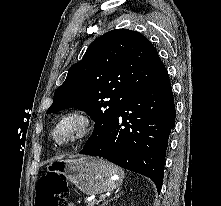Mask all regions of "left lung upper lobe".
Instances as JSON below:
<instances>
[{"label":"left lung upper lobe","mask_w":221,"mask_h":206,"mask_svg":"<svg viewBox=\"0 0 221 206\" xmlns=\"http://www.w3.org/2000/svg\"><path fill=\"white\" fill-rule=\"evenodd\" d=\"M164 72L158 52L143 35L126 29L109 31L71 66L47 113L71 107L86 112L95 121L87 147L109 130L132 96Z\"/></svg>","instance_id":"1"}]
</instances>
